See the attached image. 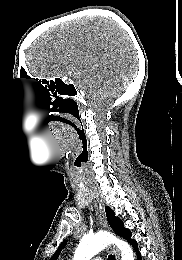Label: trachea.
<instances>
[{"label":"trachea","mask_w":182,"mask_h":260,"mask_svg":"<svg viewBox=\"0 0 182 260\" xmlns=\"http://www.w3.org/2000/svg\"><path fill=\"white\" fill-rule=\"evenodd\" d=\"M108 260H116V259H115V256L109 255V256H108Z\"/></svg>","instance_id":"trachea-1"}]
</instances>
